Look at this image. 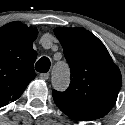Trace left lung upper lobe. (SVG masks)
Returning a JSON list of instances; mask_svg holds the SVG:
<instances>
[{
    "label": "left lung upper lobe",
    "instance_id": "1",
    "mask_svg": "<svg viewBox=\"0 0 125 125\" xmlns=\"http://www.w3.org/2000/svg\"><path fill=\"white\" fill-rule=\"evenodd\" d=\"M54 32L71 69L68 89L52 92L55 104L77 120L89 121L105 116L115 105L121 88L119 68L104 44L88 30L56 28Z\"/></svg>",
    "mask_w": 125,
    "mask_h": 125
}]
</instances>
